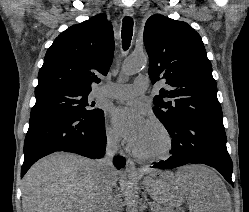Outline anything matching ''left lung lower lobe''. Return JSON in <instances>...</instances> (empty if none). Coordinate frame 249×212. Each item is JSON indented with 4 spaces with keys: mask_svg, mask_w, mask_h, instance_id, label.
Segmentation results:
<instances>
[{
    "mask_svg": "<svg viewBox=\"0 0 249 212\" xmlns=\"http://www.w3.org/2000/svg\"><path fill=\"white\" fill-rule=\"evenodd\" d=\"M172 138L171 157L153 168L170 169L188 163L215 168L232 184V160L226 147V134L220 117H186L165 126Z\"/></svg>",
    "mask_w": 249,
    "mask_h": 212,
    "instance_id": "left-lung-lower-lobe-1",
    "label": "left lung lower lobe"
}]
</instances>
